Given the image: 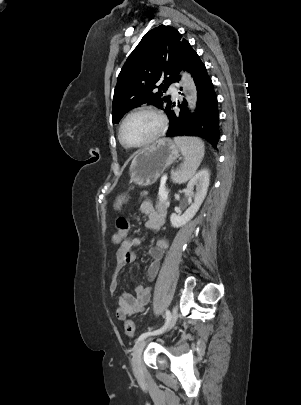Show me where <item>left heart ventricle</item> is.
Instances as JSON below:
<instances>
[{"label":"left heart ventricle","mask_w":301,"mask_h":405,"mask_svg":"<svg viewBox=\"0 0 301 405\" xmlns=\"http://www.w3.org/2000/svg\"><path fill=\"white\" fill-rule=\"evenodd\" d=\"M158 119L150 113L132 116L123 128V139L128 144H139L149 139L158 129Z\"/></svg>","instance_id":"obj_1"}]
</instances>
